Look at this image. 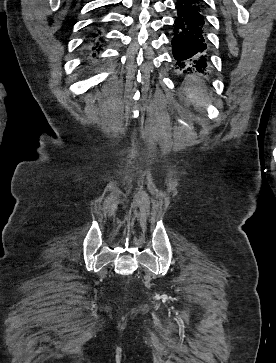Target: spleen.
<instances>
[{
	"label": "spleen",
	"instance_id": "1",
	"mask_svg": "<svg viewBox=\"0 0 276 363\" xmlns=\"http://www.w3.org/2000/svg\"><path fill=\"white\" fill-rule=\"evenodd\" d=\"M185 92L197 111H203L205 105L211 102L202 80L196 77L186 82Z\"/></svg>",
	"mask_w": 276,
	"mask_h": 363
}]
</instances>
